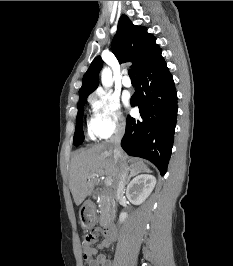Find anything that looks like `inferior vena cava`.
<instances>
[{
	"instance_id": "1",
	"label": "inferior vena cava",
	"mask_w": 233,
	"mask_h": 266,
	"mask_svg": "<svg viewBox=\"0 0 233 266\" xmlns=\"http://www.w3.org/2000/svg\"><path fill=\"white\" fill-rule=\"evenodd\" d=\"M124 132H125V126L118 125L113 137L110 139V143L113 145L114 148L113 150L114 159L120 163L118 180L116 184L117 196H120L123 193L128 176V169L126 164L123 162V151L120 145Z\"/></svg>"
}]
</instances>
